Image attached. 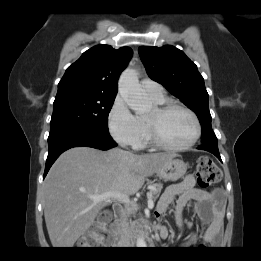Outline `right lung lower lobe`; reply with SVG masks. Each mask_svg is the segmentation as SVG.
<instances>
[{"label": "right lung lower lobe", "mask_w": 261, "mask_h": 261, "mask_svg": "<svg viewBox=\"0 0 261 261\" xmlns=\"http://www.w3.org/2000/svg\"><path fill=\"white\" fill-rule=\"evenodd\" d=\"M49 152L46 160L44 178L50 167L64 151L78 146L108 150L117 146L109 132L90 127H72L50 131L48 137Z\"/></svg>", "instance_id": "98d812e1"}]
</instances>
